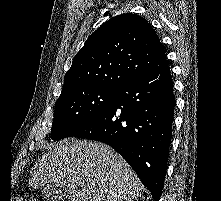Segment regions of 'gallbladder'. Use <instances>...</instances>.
Returning <instances> with one entry per match:
<instances>
[{
    "label": "gallbladder",
    "instance_id": "1",
    "mask_svg": "<svg viewBox=\"0 0 221 201\" xmlns=\"http://www.w3.org/2000/svg\"><path fill=\"white\" fill-rule=\"evenodd\" d=\"M41 193L47 201H64L69 198L66 188L57 184H50L43 187Z\"/></svg>",
    "mask_w": 221,
    "mask_h": 201
}]
</instances>
